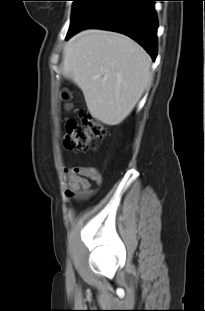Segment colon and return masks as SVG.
<instances>
[{
  "label": "colon",
  "instance_id": "5ec220e1",
  "mask_svg": "<svg viewBox=\"0 0 205 311\" xmlns=\"http://www.w3.org/2000/svg\"><path fill=\"white\" fill-rule=\"evenodd\" d=\"M65 130V148L81 152L88 150L93 141L105 135L104 126L84 111L79 113L78 120H66Z\"/></svg>",
  "mask_w": 205,
  "mask_h": 311
}]
</instances>
